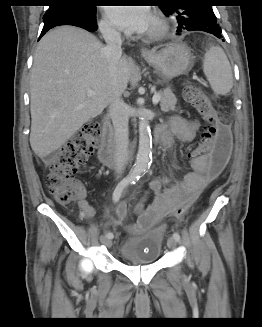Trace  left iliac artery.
<instances>
[{
    "label": "left iliac artery",
    "instance_id": "44dca946",
    "mask_svg": "<svg viewBox=\"0 0 262 327\" xmlns=\"http://www.w3.org/2000/svg\"><path fill=\"white\" fill-rule=\"evenodd\" d=\"M138 180H139V179L134 180V181H133V184H135ZM173 238H174L176 241H180V235H179V233H178V232H174V233H173Z\"/></svg>",
    "mask_w": 262,
    "mask_h": 327
}]
</instances>
